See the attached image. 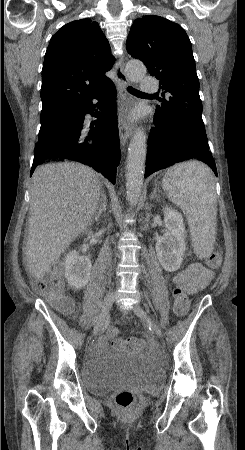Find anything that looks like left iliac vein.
I'll list each match as a JSON object with an SVG mask.
<instances>
[{
  "instance_id": "left-iliac-vein-1",
  "label": "left iliac vein",
  "mask_w": 245,
  "mask_h": 450,
  "mask_svg": "<svg viewBox=\"0 0 245 450\" xmlns=\"http://www.w3.org/2000/svg\"><path fill=\"white\" fill-rule=\"evenodd\" d=\"M133 312L135 313V315L137 317H139L141 320L145 321V322H150V318L148 317L146 311L138 304H135L132 307ZM152 329L154 330L155 334L161 338L162 337V331L159 328V326L155 323H152Z\"/></svg>"
}]
</instances>
